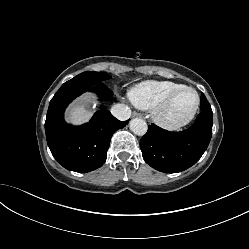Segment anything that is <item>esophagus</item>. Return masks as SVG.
Here are the masks:
<instances>
[{"label":"esophagus","instance_id":"34e87169","mask_svg":"<svg viewBox=\"0 0 249 249\" xmlns=\"http://www.w3.org/2000/svg\"><path fill=\"white\" fill-rule=\"evenodd\" d=\"M133 116H134V117H138V116H140V114L137 113V112H133Z\"/></svg>","mask_w":249,"mask_h":249}]
</instances>
